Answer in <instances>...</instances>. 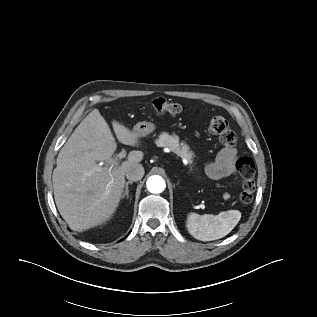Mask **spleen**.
Masks as SVG:
<instances>
[{
	"mask_svg": "<svg viewBox=\"0 0 317 317\" xmlns=\"http://www.w3.org/2000/svg\"><path fill=\"white\" fill-rule=\"evenodd\" d=\"M238 210L222 211L218 215L190 213L187 217L188 232L201 241H213L225 237L238 224Z\"/></svg>",
	"mask_w": 317,
	"mask_h": 317,
	"instance_id": "3e777b00",
	"label": "spleen"
}]
</instances>
